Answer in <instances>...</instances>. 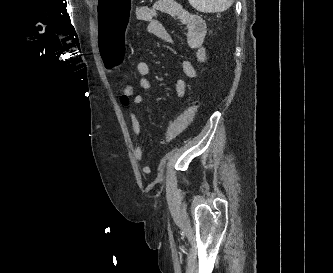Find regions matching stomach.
<instances>
[{
    "label": "stomach",
    "mask_w": 333,
    "mask_h": 273,
    "mask_svg": "<svg viewBox=\"0 0 333 273\" xmlns=\"http://www.w3.org/2000/svg\"><path fill=\"white\" fill-rule=\"evenodd\" d=\"M133 0H96L97 38H126L134 21ZM97 51L103 65H126L125 39H98Z\"/></svg>",
    "instance_id": "1"
}]
</instances>
